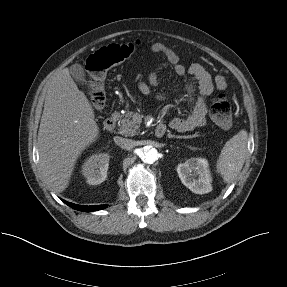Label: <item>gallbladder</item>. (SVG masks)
I'll return each mask as SVG.
<instances>
[{
    "instance_id": "gallbladder-1",
    "label": "gallbladder",
    "mask_w": 287,
    "mask_h": 287,
    "mask_svg": "<svg viewBox=\"0 0 287 287\" xmlns=\"http://www.w3.org/2000/svg\"><path fill=\"white\" fill-rule=\"evenodd\" d=\"M70 74L79 83L84 84L85 82V70L80 64H74L70 67Z\"/></svg>"
}]
</instances>
